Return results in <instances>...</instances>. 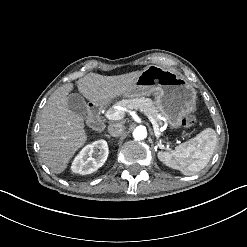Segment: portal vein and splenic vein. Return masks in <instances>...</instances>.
<instances>
[{"instance_id": "obj_1", "label": "portal vein and splenic vein", "mask_w": 247, "mask_h": 247, "mask_svg": "<svg viewBox=\"0 0 247 247\" xmlns=\"http://www.w3.org/2000/svg\"><path fill=\"white\" fill-rule=\"evenodd\" d=\"M136 110H138L140 113H142L144 116L147 117V119L152 123L153 125V129H154V132H155V136H156V139L160 142V143H164V144H172V142L170 141H165V140H162L160 138V128H159V125L156 121V119L148 114L147 112H145L144 110H142L141 108H137ZM126 116V111L122 108H119L116 112H107L106 113V117L108 119H111V120H122L124 119Z\"/></svg>"}]
</instances>
